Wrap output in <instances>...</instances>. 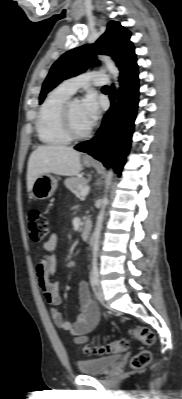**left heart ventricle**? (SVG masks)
<instances>
[{
  "label": "left heart ventricle",
  "instance_id": "1",
  "mask_svg": "<svg viewBox=\"0 0 182 399\" xmlns=\"http://www.w3.org/2000/svg\"><path fill=\"white\" fill-rule=\"evenodd\" d=\"M70 116L73 128L76 132L83 133L90 128L82 115L81 104L79 102H71Z\"/></svg>",
  "mask_w": 182,
  "mask_h": 399
}]
</instances>
